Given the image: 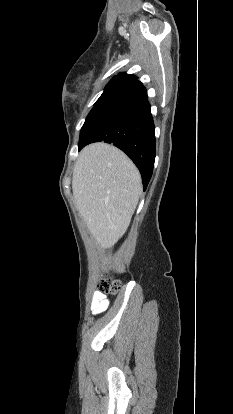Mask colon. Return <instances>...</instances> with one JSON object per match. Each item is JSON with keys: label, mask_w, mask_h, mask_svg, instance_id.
Masks as SVG:
<instances>
[{"label": "colon", "mask_w": 233, "mask_h": 414, "mask_svg": "<svg viewBox=\"0 0 233 414\" xmlns=\"http://www.w3.org/2000/svg\"><path fill=\"white\" fill-rule=\"evenodd\" d=\"M120 288V282L118 280H112L110 278H103L99 284V289L103 293L116 294Z\"/></svg>", "instance_id": "1"}]
</instances>
